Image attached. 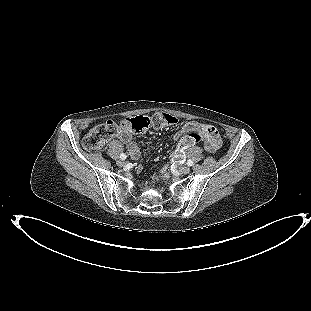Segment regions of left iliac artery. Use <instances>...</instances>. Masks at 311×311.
<instances>
[{"label":"left iliac artery","instance_id":"left-iliac-artery-1","mask_svg":"<svg viewBox=\"0 0 311 311\" xmlns=\"http://www.w3.org/2000/svg\"><path fill=\"white\" fill-rule=\"evenodd\" d=\"M187 165H188V166H192V165H193V161H192L191 159H189V160L187 161Z\"/></svg>","mask_w":311,"mask_h":311}]
</instances>
